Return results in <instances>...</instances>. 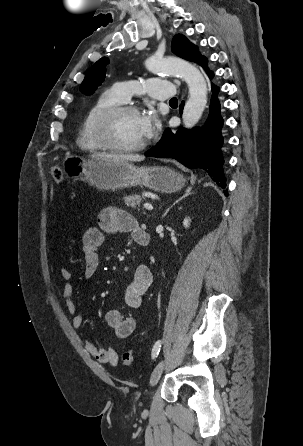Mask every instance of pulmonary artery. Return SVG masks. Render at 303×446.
Listing matches in <instances>:
<instances>
[{"label":"pulmonary artery","mask_w":303,"mask_h":446,"mask_svg":"<svg viewBox=\"0 0 303 446\" xmlns=\"http://www.w3.org/2000/svg\"><path fill=\"white\" fill-rule=\"evenodd\" d=\"M113 89L122 101H128L133 94L148 93L152 98L167 100L174 97V86L165 80L151 78L144 83L138 81L118 82Z\"/></svg>","instance_id":"e3ab8cb5"}]
</instances>
